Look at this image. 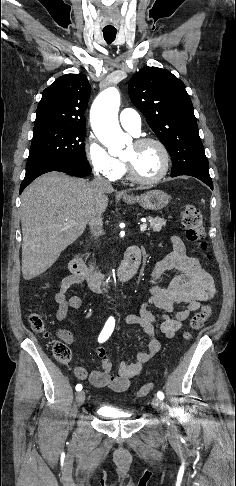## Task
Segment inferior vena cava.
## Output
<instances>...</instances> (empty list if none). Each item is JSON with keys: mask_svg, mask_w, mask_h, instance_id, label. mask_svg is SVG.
<instances>
[{"mask_svg": "<svg viewBox=\"0 0 236 486\" xmlns=\"http://www.w3.org/2000/svg\"><path fill=\"white\" fill-rule=\"evenodd\" d=\"M97 192L112 188L110 182L100 175H97L91 183ZM90 230L95 239L103 234V218L101 213H97L89 222Z\"/></svg>", "mask_w": 236, "mask_h": 486, "instance_id": "602c4592", "label": "inferior vena cava"}]
</instances>
